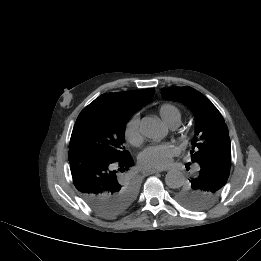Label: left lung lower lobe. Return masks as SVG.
Listing matches in <instances>:
<instances>
[{
  "mask_svg": "<svg viewBox=\"0 0 261 261\" xmlns=\"http://www.w3.org/2000/svg\"><path fill=\"white\" fill-rule=\"evenodd\" d=\"M210 162L212 160L200 162L199 175L190 180L193 187L201 189L206 194L215 193L217 188L224 186L230 173L231 161H225L223 167H217Z\"/></svg>",
  "mask_w": 261,
  "mask_h": 261,
  "instance_id": "obj_1",
  "label": "left lung lower lobe"
}]
</instances>
